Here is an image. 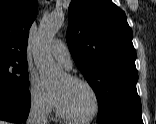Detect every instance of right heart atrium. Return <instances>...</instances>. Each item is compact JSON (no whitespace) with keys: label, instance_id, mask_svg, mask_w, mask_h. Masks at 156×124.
<instances>
[{"label":"right heart atrium","instance_id":"obj_1","mask_svg":"<svg viewBox=\"0 0 156 124\" xmlns=\"http://www.w3.org/2000/svg\"><path fill=\"white\" fill-rule=\"evenodd\" d=\"M28 95L32 108L50 115L54 109L55 99L51 89L42 84L37 74L31 72L28 76Z\"/></svg>","mask_w":156,"mask_h":124}]
</instances>
